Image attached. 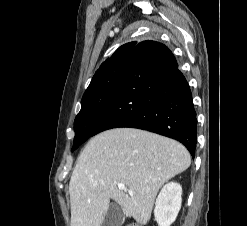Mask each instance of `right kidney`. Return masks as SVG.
Segmentation results:
<instances>
[{
	"instance_id": "1",
	"label": "right kidney",
	"mask_w": 247,
	"mask_h": 226,
	"mask_svg": "<svg viewBox=\"0 0 247 226\" xmlns=\"http://www.w3.org/2000/svg\"><path fill=\"white\" fill-rule=\"evenodd\" d=\"M182 187L170 182L161 189L155 203L154 216L158 226H170L179 213L182 203Z\"/></svg>"
}]
</instances>
